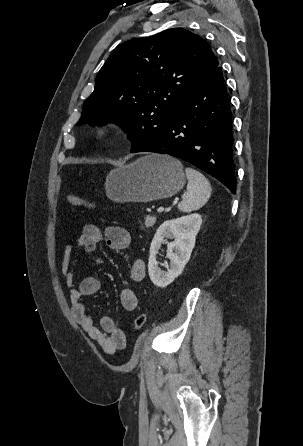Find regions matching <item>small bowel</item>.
<instances>
[{"instance_id": "1", "label": "small bowel", "mask_w": 303, "mask_h": 446, "mask_svg": "<svg viewBox=\"0 0 303 446\" xmlns=\"http://www.w3.org/2000/svg\"><path fill=\"white\" fill-rule=\"evenodd\" d=\"M115 251L126 249L131 241L130 233L120 226H109L104 233L93 224L83 227L82 234L77 239L76 248H82L86 253H92L101 241ZM72 244L63 248L61 272L65 278L66 285L70 289L71 311L88 336L96 341L107 354H114L127 346L125 332L117 325L114 317L104 315L100 318L99 326L94 325L92 317L88 314L82 298L96 294L101 287L100 281L94 276H86L78 283L76 282L75 269L78 265L77 254ZM97 263L101 259L96 258ZM146 276V265L142 259H136L130 267V278L135 282L142 281ZM120 302L126 311H134L138 307V297L131 288H125L120 293Z\"/></svg>"}]
</instances>
